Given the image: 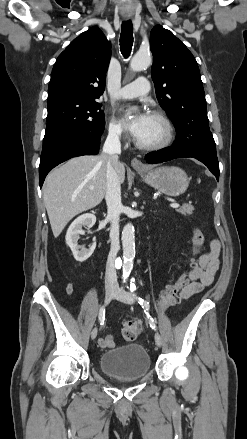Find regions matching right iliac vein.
<instances>
[{
  "instance_id": "1",
  "label": "right iliac vein",
  "mask_w": 247,
  "mask_h": 439,
  "mask_svg": "<svg viewBox=\"0 0 247 439\" xmlns=\"http://www.w3.org/2000/svg\"><path fill=\"white\" fill-rule=\"evenodd\" d=\"M116 293V289L113 287H107L105 290V305L109 304ZM97 336V327L91 332V338L94 340Z\"/></svg>"
}]
</instances>
